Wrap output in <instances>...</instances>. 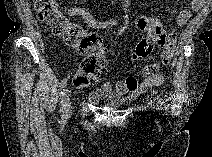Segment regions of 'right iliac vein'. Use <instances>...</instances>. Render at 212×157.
Wrapping results in <instances>:
<instances>
[{
  "label": "right iliac vein",
  "instance_id": "obj_1",
  "mask_svg": "<svg viewBox=\"0 0 212 157\" xmlns=\"http://www.w3.org/2000/svg\"><path fill=\"white\" fill-rule=\"evenodd\" d=\"M63 100H64V113L69 114L71 112L72 106L68 90L64 91Z\"/></svg>",
  "mask_w": 212,
  "mask_h": 157
}]
</instances>
